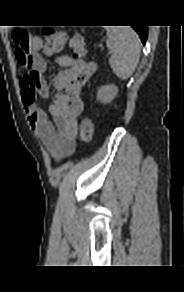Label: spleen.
<instances>
[{
    "mask_svg": "<svg viewBox=\"0 0 184 292\" xmlns=\"http://www.w3.org/2000/svg\"><path fill=\"white\" fill-rule=\"evenodd\" d=\"M107 47L112 52L109 64L115 75L127 80L135 71L141 51V42L131 27H107Z\"/></svg>",
    "mask_w": 184,
    "mask_h": 292,
    "instance_id": "obj_1",
    "label": "spleen"
}]
</instances>
